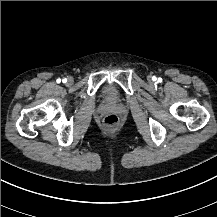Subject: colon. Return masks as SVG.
Here are the masks:
<instances>
[{"label":"colon","mask_w":217,"mask_h":217,"mask_svg":"<svg viewBox=\"0 0 217 217\" xmlns=\"http://www.w3.org/2000/svg\"><path fill=\"white\" fill-rule=\"evenodd\" d=\"M118 117L114 114H110L105 118V124L110 127V128H114L118 125Z\"/></svg>","instance_id":"1"}]
</instances>
